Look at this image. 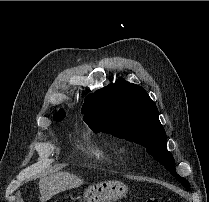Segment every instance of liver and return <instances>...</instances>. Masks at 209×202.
<instances>
[{
	"instance_id": "liver-1",
	"label": "liver",
	"mask_w": 209,
	"mask_h": 202,
	"mask_svg": "<svg viewBox=\"0 0 209 202\" xmlns=\"http://www.w3.org/2000/svg\"><path fill=\"white\" fill-rule=\"evenodd\" d=\"M83 184V180L76 175L68 172H59L43 177L39 180L38 186L40 191V200L48 201L54 195L68 189L79 187Z\"/></svg>"
}]
</instances>
